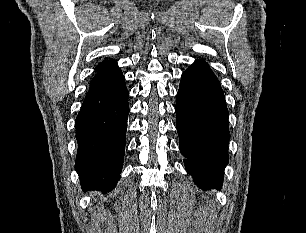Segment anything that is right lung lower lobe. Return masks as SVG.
<instances>
[{"mask_svg": "<svg viewBox=\"0 0 306 233\" xmlns=\"http://www.w3.org/2000/svg\"><path fill=\"white\" fill-rule=\"evenodd\" d=\"M128 90L121 70L90 85L76 118L75 170L84 190H112L123 165Z\"/></svg>", "mask_w": 306, "mask_h": 233, "instance_id": "1", "label": "right lung lower lobe"}]
</instances>
